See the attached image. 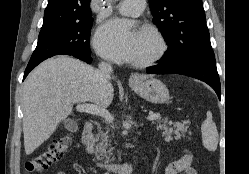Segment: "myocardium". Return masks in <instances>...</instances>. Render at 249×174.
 Instances as JSON below:
<instances>
[{
	"instance_id": "f54148a6",
	"label": "myocardium",
	"mask_w": 249,
	"mask_h": 174,
	"mask_svg": "<svg viewBox=\"0 0 249 174\" xmlns=\"http://www.w3.org/2000/svg\"><path fill=\"white\" fill-rule=\"evenodd\" d=\"M140 31H145L151 34L157 43V49L155 52L134 62V65L138 67H146L163 59L168 52L169 46L164 35L157 27L151 24H145L141 27Z\"/></svg>"
}]
</instances>
